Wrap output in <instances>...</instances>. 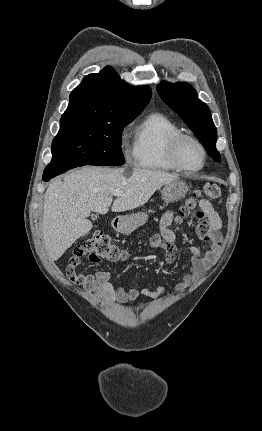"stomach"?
<instances>
[{"label": "stomach", "mask_w": 262, "mask_h": 431, "mask_svg": "<svg viewBox=\"0 0 262 431\" xmlns=\"http://www.w3.org/2000/svg\"><path fill=\"white\" fill-rule=\"evenodd\" d=\"M187 191L188 187L186 183L177 179L164 185L161 190L162 199L165 203L179 201L185 197ZM147 220L148 216L145 212L122 216L118 218L116 230L123 234H130L145 224Z\"/></svg>", "instance_id": "obj_1"}]
</instances>
